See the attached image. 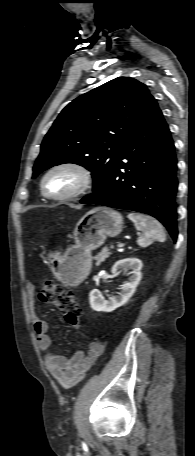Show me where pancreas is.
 I'll list each match as a JSON object with an SVG mask.
<instances>
[{
    "label": "pancreas",
    "mask_w": 195,
    "mask_h": 456,
    "mask_svg": "<svg viewBox=\"0 0 195 456\" xmlns=\"http://www.w3.org/2000/svg\"><path fill=\"white\" fill-rule=\"evenodd\" d=\"M110 251L107 247L102 248V250L94 257L96 260V266H100L102 262H104L110 255Z\"/></svg>",
    "instance_id": "pancreas-1"
}]
</instances>
